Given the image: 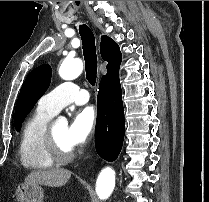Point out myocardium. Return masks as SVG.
<instances>
[{
  "instance_id": "myocardium-1",
  "label": "myocardium",
  "mask_w": 209,
  "mask_h": 202,
  "mask_svg": "<svg viewBox=\"0 0 209 202\" xmlns=\"http://www.w3.org/2000/svg\"><path fill=\"white\" fill-rule=\"evenodd\" d=\"M45 143L48 151L57 161H69L75 156L73 148H65L58 142L52 124L48 125L46 128Z\"/></svg>"
}]
</instances>
